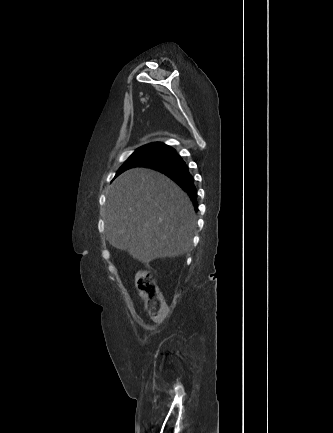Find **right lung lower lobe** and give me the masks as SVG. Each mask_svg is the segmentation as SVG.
Here are the masks:
<instances>
[{
    "instance_id": "obj_1",
    "label": "right lung lower lobe",
    "mask_w": 333,
    "mask_h": 433,
    "mask_svg": "<svg viewBox=\"0 0 333 433\" xmlns=\"http://www.w3.org/2000/svg\"><path fill=\"white\" fill-rule=\"evenodd\" d=\"M141 166L156 169L171 178L185 192L188 193L195 209L197 210V190L194 185L193 177L190 174L186 163L175 150H173L166 156H163L155 161L143 164Z\"/></svg>"
}]
</instances>
